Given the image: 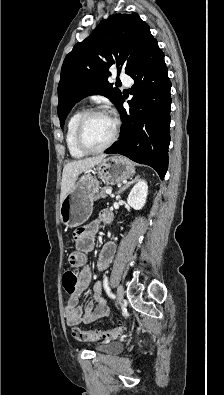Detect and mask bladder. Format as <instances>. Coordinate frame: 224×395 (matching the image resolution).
<instances>
[{
	"label": "bladder",
	"instance_id": "31cf9c89",
	"mask_svg": "<svg viewBox=\"0 0 224 395\" xmlns=\"http://www.w3.org/2000/svg\"><path fill=\"white\" fill-rule=\"evenodd\" d=\"M97 352L105 354L119 353L123 349V344L119 342H105L94 346Z\"/></svg>",
	"mask_w": 224,
	"mask_h": 395
}]
</instances>
